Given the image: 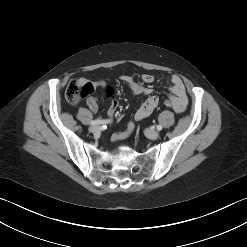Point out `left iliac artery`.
<instances>
[{
  "instance_id": "1",
  "label": "left iliac artery",
  "mask_w": 247,
  "mask_h": 247,
  "mask_svg": "<svg viewBox=\"0 0 247 247\" xmlns=\"http://www.w3.org/2000/svg\"><path fill=\"white\" fill-rule=\"evenodd\" d=\"M156 128H157L158 131L162 130V126L161 125H157Z\"/></svg>"
}]
</instances>
